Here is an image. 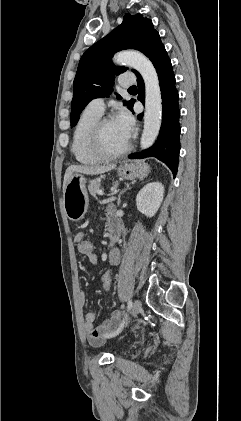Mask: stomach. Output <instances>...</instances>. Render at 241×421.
Segmentation results:
<instances>
[{
	"label": "stomach",
	"instance_id": "1",
	"mask_svg": "<svg viewBox=\"0 0 241 421\" xmlns=\"http://www.w3.org/2000/svg\"><path fill=\"white\" fill-rule=\"evenodd\" d=\"M118 175L126 180L143 179L149 172L148 164L144 162H124L117 169ZM88 194L86 179L83 175L75 173L68 182L64 191V210L71 221L81 220L88 209Z\"/></svg>",
	"mask_w": 241,
	"mask_h": 421
}]
</instances>
